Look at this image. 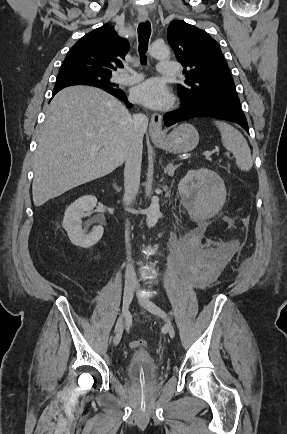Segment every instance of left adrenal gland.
I'll use <instances>...</instances> for the list:
<instances>
[{
    "mask_svg": "<svg viewBox=\"0 0 287 434\" xmlns=\"http://www.w3.org/2000/svg\"><path fill=\"white\" fill-rule=\"evenodd\" d=\"M179 167V165H173L172 162H169L166 166V168L164 169V172L167 173L169 176H173L175 170Z\"/></svg>",
    "mask_w": 287,
    "mask_h": 434,
    "instance_id": "a2214340",
    "label": "left adrenal gland"
}]
</instances>
